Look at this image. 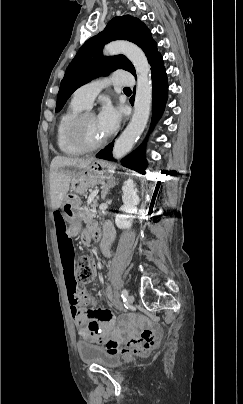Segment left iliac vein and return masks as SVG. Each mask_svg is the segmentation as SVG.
Returning a JSON list of instances; mask_svg holds the SVG:
<instances>
[{
    "instance_id": "obj_1",
    "label": "left iliac vein",
    "mask_w": 243,
    "mask_h": 404,
    "mask_svg": "<svg viewBox=\"0 0 243 404\" xmlns=\"http://www.w3.org/2000/svg\"><path fill=\"white\" fill-rule=\"evenodd\" d=\"M127 301H128L129 304H133V302H134V296H133V295H129V296L127 297Z\"/></svg>"
}]
</instances>
